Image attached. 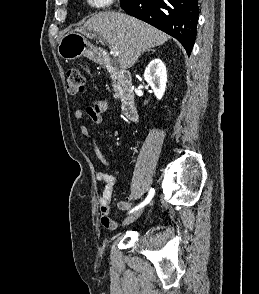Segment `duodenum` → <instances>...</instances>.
<instances>
[{"label": "duodenum", "mask_w": 259, "mask_h": 294, "mask_svg": "<svg viewBox=\"0 0 259 294\" xmlns=\"http://www.w3.org/2000/svg\"><path fill=\"white\" fill-rule=\"evenodd\" d=\"M101 62L104 66L107 67V69H109V71L114 74L118 87L121 109L124 116L128 120L136 122L138 120V112L135 101V93L132 87L131 73L128 71L115 69L112 66L110 60L103 54L101 55Z\"/></svg>", "instance_id": "duodenum-1"}]
</instances>
